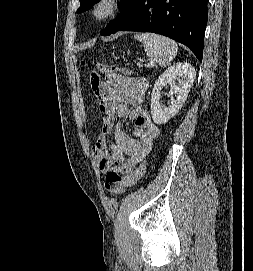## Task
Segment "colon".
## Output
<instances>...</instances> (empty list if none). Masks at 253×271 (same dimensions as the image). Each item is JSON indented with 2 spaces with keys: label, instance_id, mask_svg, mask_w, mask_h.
<instances>
[{
  "label": "colon",
  "instance_id": "obj_1",
  "mask_svg": "<svg viewBox=\"0 0 253 271\" xmlns=\"http://www.w3.org/2000/svg\"><path fill=\"white\" fill-rule=\"evenodd\" d=\"M93 65L103 72L119 71L124 74L127 70L115 65H108L101 60L93 61ZM102 81L97 74H92L90 77V88L94 95H98L102 89ZM145 171V163H140L134 171L127 175H120L116 172H110L106 178L105 188L113 195L122 194L126 188L133 186L141 178Z\"/></svg>",
  "mask_w": 253,
  "mask_h": 271
}]
</instances>
